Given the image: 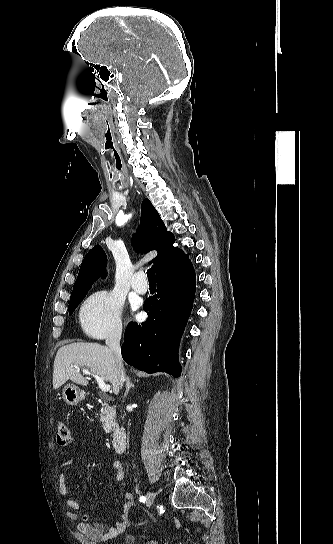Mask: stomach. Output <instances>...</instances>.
<instances>
[{"instance_id":"1","label":"stomach","mask_w":333,"mask_h":544,"mask_svg":"<svg viewBox=\"0 0 333 544\" xmlns=\"http://www.w3.org/2000/svg\"><path fill=\"white\" fill-rule=\"evenodd\" d=\"M63 400L71 406L77 405L83 398V392L73 384H67L62 392Z\"/></svg>"}]
</instances>
